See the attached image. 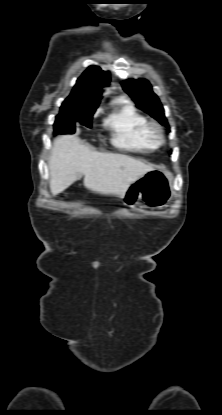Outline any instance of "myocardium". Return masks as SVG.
<instances>
[{
  "label": "myocardium",
  "mask_w": 222,
  "mask_h": 415,
  "mask_svg": "<svg viewBox=\"0 0 222 415\" xmlns=\"http://www.w3.org/2000/svg\"><path fill=\"white\" fill-rule=\"evenodd\" d=\"M145 132L149 140L156 146H160L166 141L164 129L158 122H148Z\"/></svg>",
  "instance_id": "1"
}]
</instances>
